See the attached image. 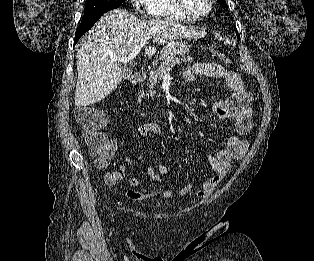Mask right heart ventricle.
<instances>
[{
    "label": "right heart ventricle",
    "instance_id": "obj_1",
    "mask_svg": "<svg viewBox=\"0 0 314 261\" xmlns=\"http://www.w3.org/2000/svg\"><path fill=\"white\" fill-rule=\"evenodd\" d=\"M146 9L152 17L181 21H190L192 19L178 7L175 0H149Z\"/></svg>",
    "mask_w": 314,
    "mask_h": 261
}]
</instances>
